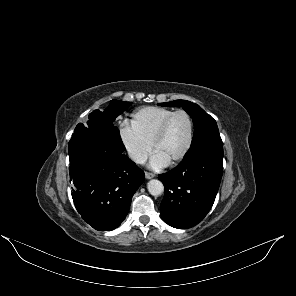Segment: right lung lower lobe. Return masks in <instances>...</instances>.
Returning <instances> with one entry per match:
<instances>
[{
	"mask_svg": "<svg viewBox=\"0 0 296 296\" xmlns=\"http://www.w3.org/2000/svg\"><path fill=\"white\" fill-rule=\"evenodd\" d=\"M124 150L115 126L95 122L78 124L69 141L72 198L84 221L99 231L120 226L145 178Z\"/></svg>",
	"mask_w": 296,
	"mask_h": 296,
	"instance_id": "1",
	"label": "right lung lower lobe"
}]
</instances>
